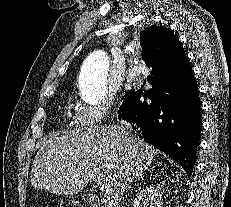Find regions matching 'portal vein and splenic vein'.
<instances>
[{
  "label": "portal vein and splenic vein",
  "instance_id": "1",
  "mask_svg": "<svg viewBox=\"0 0 231 207\" xmlns=\"http://www.w3.org/2000/svg\"><path fill=\"white\" fill-rule=\"evenodd\" d=\"M96 183H99V184H101V182H100V181H96Z\"/></svg>",
  "mask_w": 231,
  "mask_h": 207
}]
</instances>
